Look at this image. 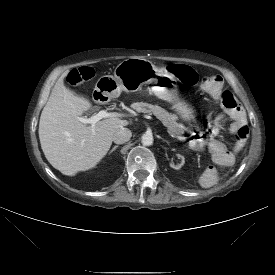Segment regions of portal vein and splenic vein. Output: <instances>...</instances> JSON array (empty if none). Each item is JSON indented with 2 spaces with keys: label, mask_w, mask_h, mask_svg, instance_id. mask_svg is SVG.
<instances>
[{
  "label": "portal vein and splenic vein",
  "mask_w": 275,
  "mask_h": 275,
  "mask_svg": "<svg viewBox=\"0 0 275 275\" xmlns=\"http://www.w3.org/2000/svg\"><path fill=\"white\" fill-rule=\"evenodd\" d=\"M124 116H126V115L123 113L107 112L106 110H101L96 115H93L90 118L79 117L78 119L83 124H91V126L94 127V125L97 122H99L101 119L109 118V117H124ZM148 119H152V117L148 116Z\"/></svg>",
  "instance_id": "portal-vein-and-splenic-vein-1"
}]
</instances>
